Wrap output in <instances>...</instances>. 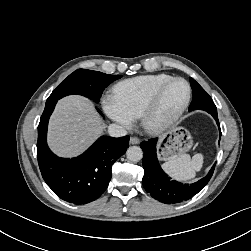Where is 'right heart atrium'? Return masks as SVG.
Returning <instances> with one entry per match:
<instances>
[{
  "label": "right heart atrium",
  "instance_id": "obj_1",
  "mask_svg": "<svg viewBox=\"0 0 251 251\" xmlns=\"http://www.w3.org/2000/svg\"><path fill=\"white\" fill-rule=\"evenodd\" d=\"M102 106L105 113L112 120L126 128H130L133 125L134 118L120 106L114 95H105L102 99Z\"/></svg>",
  "mask_w": 251,
  "mask_h": 251
}]
</instances>
